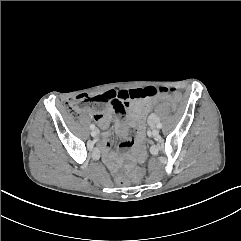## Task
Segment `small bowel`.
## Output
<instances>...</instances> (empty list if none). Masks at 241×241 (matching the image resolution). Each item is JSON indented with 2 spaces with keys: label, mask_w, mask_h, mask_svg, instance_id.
I'll list each match as a JSON object with an SVG mask.
<instances>
[{
  "label": "small bowel",
  "mask_w": 241,
  "mask_h": 241,
  "mask_svg": "<svg viewBox=\"0 0 241 241\" xmlns=\"http://www.w3.org/2000/svg\"><path fill=\"white\" fill-rule=\"evenodd\" d=\"M137 90H138V95L135 97L136 100H146L148 98H153L157 95V88L155 86L143 87ZM130 100H133V99H129L125 107V113H126V109L129 106L127 120H125L124 118H120V119H117L115 122L116 131L121 136L124 137V139L119 144L120 148L131 147L134 144L135 139L137 137V130L135 128H138L140 132L143 131L144 119L146 115L144 113V109L148 108L151 105L150 101H136L129 105ZM112 109L116 111V108L113 105H111V107L105 109L103 113H95L92 115V118L98 123V125L101 128L103 129L108 128L110 124V113ZM128 126L131 127L129 129V132H128ZM128 133H129V136H128ZM108 137H109V133L108 132L104 133L102 136V139L99 142V145L102 150L103 160L112 170H115L116 162H115L113 153L111 151V148L113 145L108 140Z\"/></svg>",
  "instance_id": "obj_1"
}]
</instances>
